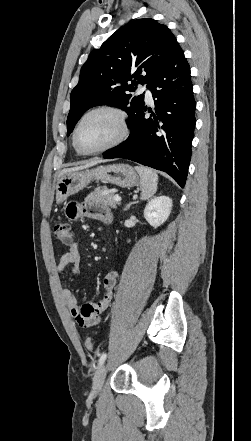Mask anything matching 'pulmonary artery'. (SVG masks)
<instances>
[{
	"label": "pulmonary artery",
	"mask_w": 251,
	"mask_h": 441,
	"mask_svg": "<svg viewBox=\"0 0 251 441\" xmlns=\"http://www.w3.org/2000/svg\"><path fill=\"white\" fill-rule=\"evenodd\" d=\"M139 92H140V93H144L145 98H146V100H147L148 102H151V101H152V93H151L150 89L147 87V85H142V86L139 88Z\"/></svg>",
	"instance_id": "pulmonary-artery-1"
}]
</instances>
